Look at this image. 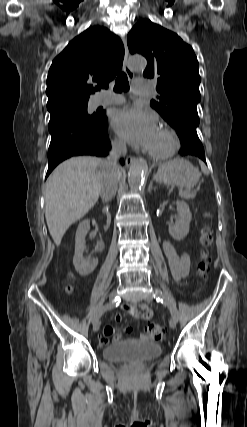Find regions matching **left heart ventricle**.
I'll return each mask as SVG.
<instances>
[{"label":"left heart ventricle","instance_id":"left-heart-ventricle-1","mask_svg":"<svg viewBox=\"0 0 247 427\" xmlns=\"http://www.w3.org/2000/svg\"><path fill=\"white\" fill-rule=\"evenodd\" d=\"M168 139L167 136L161 131L157 129L154 139L149 147V149H162L167 145Z\"/></svg>","mask_w":247,"mask_h":427}]
</instances>
